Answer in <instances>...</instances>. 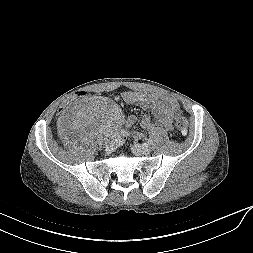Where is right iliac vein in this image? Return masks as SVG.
Instances as JSON below:
<instances>
[{
  "label": "right iliac vein",
  "instance_id": "right-iliac-vein-1",
  "mask_svg": "<svg viewBox=\"0 0 253 253\" xmlns=\"http://www.w3.org/2000/svg\"><path fill=\"white\" fill-rule=\"evenodd\" d=\"M117 145H118V141L117 140L109 141L108 144H107V146H106V150L108 152H112V151H114L117 148Z\"/></svg>",
  "mask_w": 253,
  "mask_h": 253
}]
</instances>
